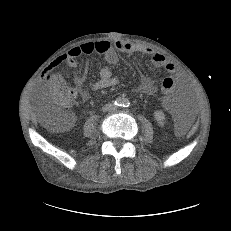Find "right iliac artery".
Instances as JSON below:
<instances>
[{"label":"right iliac artery","instance_id":"82829eb1","mask_svg":"<svg viewBox=\"0 0 231 231\" xmlns=\"http://www.w3.org/2000/svg\"><path fill=\"white\" fill-rule=\"evenodd\" d=\"M122 103H123V101L120 98L115 101V105H117V106H121Z\"/></svg>","mask_w":231,"mask_h":231}]
</instances>
